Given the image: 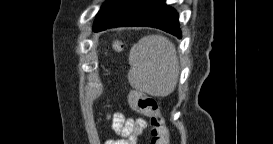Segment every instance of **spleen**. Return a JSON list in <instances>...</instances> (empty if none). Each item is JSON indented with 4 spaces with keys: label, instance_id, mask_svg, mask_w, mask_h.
Returning <instances> with one entry per match:
<instances>
[{
    "label": "spleen",
    "instance_id": "spleen-1",
    "mask_svg": "<svg viewBox=\"0 0 273 144\" xmlns=\"http://www.w3.org/2000/svg\"><path fill=\"white\" fill-rule=\"evenodd\" d=\"M130 85L152 96L170 95L177 84L179 62L174 44L162 35H148L129 53Z\"/></svg>",
    "mask_w": 273,
    "mask_h": 144
}]
</instances>
